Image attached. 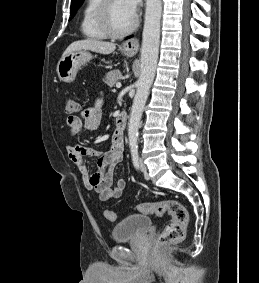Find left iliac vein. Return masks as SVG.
Returning a JSON list of instances; mask_svg holds the SVG:
<instances>
[{"label":"left iliac vein","mask_w":259,"mask_h":283,"mask_svg":"<svg viewBox=\"0 0 259 283\" xmlns=\"http://www.w3.org/2000/svg\"><path fill=\"white\" fill-rule=\"evenodd\" d=\"M139 165H140V170L144 173L145 177L148 178L147 167L143 162V160L140 159Z\"/></svg>","instance_id":"left-iliac-vein-1"}]
</instances>
